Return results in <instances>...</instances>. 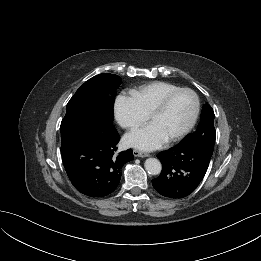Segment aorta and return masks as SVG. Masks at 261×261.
Here are the masks:
<instances>
[{
  "label": "aorta",
  "mask_w": 261,
  "mask_h": 261,
  "mask_svg": "<svg viewBox=\"0 0 261 261\" xmlns=\"http://www.w3.org/2000/svg\"><path fill=\"white\" fill-rule=\"evenodd\" d=\"M145 169L151 175H158L161 172V162L156 158H148L145 161Z\"/></svg>",
  "instance_id": "762f6f07"
}]
</instances>
